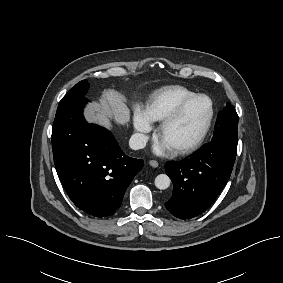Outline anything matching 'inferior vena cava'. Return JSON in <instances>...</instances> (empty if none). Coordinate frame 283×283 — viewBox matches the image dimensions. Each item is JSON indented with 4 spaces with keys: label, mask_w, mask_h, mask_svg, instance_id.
Returning a JSON list of instances; mask_svg holds the SVG:
<instances>
[{
    "label": "inferior vena cava",
    "mask_w": 283,
    "mask_h": 283,
    "mask_svg": "<svg viewBox=\"0 0 283 283\" xmlns=\"http://www.w3.org/2000/svg\"><path fill=\"white\" fill-rule=\"evenodd\" d=\"M148 137L141 133H135L131 136L129 140V146L133 150L143 149L146 146Z\"/></svg>",
    "instance_id": "1"
}]
</instances>
